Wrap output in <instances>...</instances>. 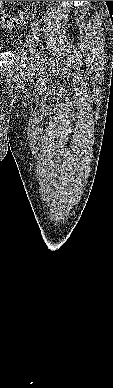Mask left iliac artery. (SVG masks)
Returning a JSON list of instances; mask_svg holds the SVG:
<instances>
[{"label":"left iliac artery","instance_id":"1","mask_svg":"<svg viewBox=\"0 0 113 388\" xmlns=\"http://www.w3.org/2000/svg\"><path fill=\"white\" fill-rule=\"evenodd\" d=\"M31 31L37 44L40 42V29L36 22L31 23Z\"/></svg>","mask_w":113,"mask_h":388}]
</instances>
